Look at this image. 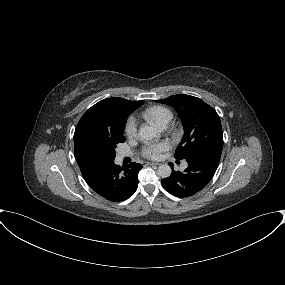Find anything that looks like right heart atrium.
Returning a JSON list of instances; mask_svg holds the SVG:
<instances>
[{"label": "right heart atrium", "mask_w": 285, "mask_h": 285, "mask_svg": "<svg viewBox=\"0 0 285 285\" xmlns=\"http://www.w3.org/2000/svg\"><path fill=\"white\" fill-rule=\"evenodd\" d=\"M138 122L135 116H130L125 123L124 133L128 138H134L137 134Z\"/></svg>", "instance_id": "obj_1"}]
</instances>
